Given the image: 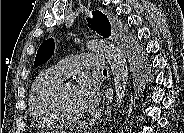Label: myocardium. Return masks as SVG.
<instances>
[{"mask_svg":"<svg viewBox=\"0 0 184 133\" xmlns=\"http://www.w3.org/2000/svg\"><path fill=\"white\" fill-rule=\"evenodd\" d=\"M67 85H72L70 82L61 83L55 91L54 107L62 122L78 123L84 119V116H71L69 115L63 105V91Z\"/></svg>","mask_w":184,"mask_h":133,"instance_id":"f54148a6","label":"myocardium"}]
</instances>
